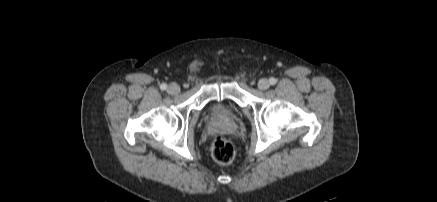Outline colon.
Listing matches in <instances>:
<instances>
[{
	"label": "colon",
	"instance_id": "colon-1",
	"mask_svg": "<svg viewBox=\"0 0 437 202\" xmlns=\"http://www.w3.org/2000/svg\"><path fill=\"white\" fill-rule=\"evenodd\" d=\"M211 154L217 163L227 165L233 162L235 150L228 139L218 136L213 141Z\"/></svg>",
	"mask_w": 437,
	"mask_h": 202
}]
</instances>
